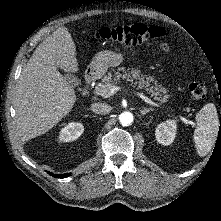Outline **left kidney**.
<instances>
[{"label":"left kidney","instance_id":"obj_1","mask_svg":"<svg viewBox=\"0 0 221 221\" xmlns=\"http://www.w3.org/2000/svg\"><path fill=\"white\" fill-rule=\"evenodd\" d=\"M177 125L175 120H167L159 124L155 130L157 142L162 145H170L176 136Z\"/></svg>","mask_w":221,"mask_h":221}]
</instances>
